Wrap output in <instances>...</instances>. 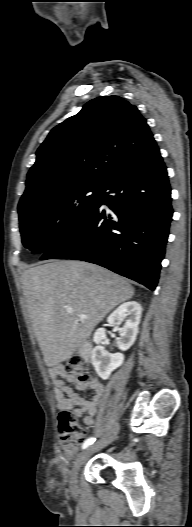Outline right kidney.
Returning a JSON list of instances; mask_svg holds the SVG:
<instances>
[{"mask_svg":"<svg viewBox=\"0 0 192 527\" xmlns=\"http://www.w3.org/2000/svg\"><path fill=\"white\" fill-rule=\"evenodd\" d=\"M142 314V307L135 301H130L120 305L108 317L107 322L110 326L115 327L119 331L118 347L120 350H128L135 342L138 334V326ZM125 320L122 328L119 324ZM106 339L105 329L99 328L93 337V341L97 346L92 351V364L99 377L106 380L111 375L112 371L123 364L124 355L122 353L111 354L108 353L101 344H105Z\"/></svg>","mask_w":192,"mask_h":527,"instance_id":"ca27d5eb","label":"right kidney"}]
</instances>
